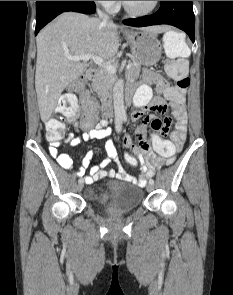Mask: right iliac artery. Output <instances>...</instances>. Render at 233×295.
<instances>
[{"instance_id":"right-iliac-artery-1","label":"right iliac artery","mask_w":233,"mask_h":295,"mask_svg":"<svg viewBox=\"0 0 233 295\" xmlns=\"http://www.w3.org/2000/svg\"><path fill=\"white\" fill-rule=\"evenodd\" d=\"M115 124H116V130L118 132H120L121 131V127H122V119H119V118L116 119Z\"/></svg>"}]
</instances>
